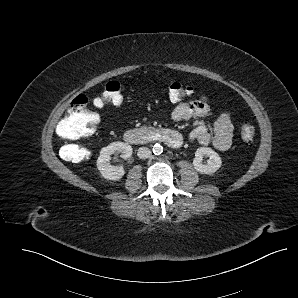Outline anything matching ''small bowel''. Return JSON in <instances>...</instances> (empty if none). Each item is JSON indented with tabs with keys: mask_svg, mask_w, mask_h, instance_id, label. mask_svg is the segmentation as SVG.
Instances as JSON below:
<instances>
[{
	"mask_svg": "<svg viewBox=\"0 0 298 298\" xmlns=\"http://www.w3.org/2000/svg\"><path fill=\"white\" fill-rule=\"evenodd\" d=\"M212 113L209 100L200 97L189 102L178 103L171 112V118L174 121H181L194 117H207ZM190 138L203 146L213 145L220 151L228 150L233 140V124L230 113L223 112L216 118L213 133L207 125H200L191 132Z\"/></svg>",
	"mask_w": 298,
	"mask_h": 298,
	"instance_id": "1",
	"label": "small bowel"
}]
</instances>
